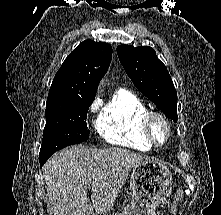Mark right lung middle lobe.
<instances>
[{"label": "right lung middle lobe", "instance_id": "1", "mask_svg": "<svg viewBox=\"0 0 221 215\" xmlns=\"http://www.w3.org/2000/svg\"><path fill=\"white\" fill-rule=\"evenodd\" d=\"M93 101H67L46 104V126L40 158H49L56 151L89 138L85 119Z\"/></svg>", "mask_w": 221, "mask_h": 215}]
</instances>
